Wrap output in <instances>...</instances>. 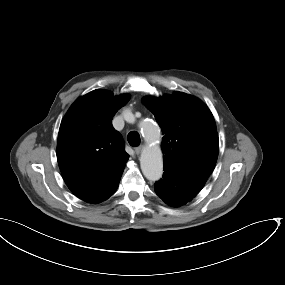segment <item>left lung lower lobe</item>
I'll list each match as a JSON object with an SVG mask.
<instances>
[{"instance_id": "0a47b994", "label": "left lung lower lobe", "mask_w": 285, "mask_h": 285, "mask_svg": "<svg viewBox=\"0 0 285 285\" xmlns=\"http://www.w3.org/2000/svg\"><path fill=\"white\" fill-rule=\"evenodd\" d=\"M204 185L202 181L164 169L163 178L155 183V192L165 203L177 207L192 200Z\"/></svg>"}]
</instances>
